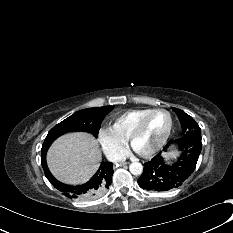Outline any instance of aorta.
Listing matches in <instances>:
<instances>
[{"instance_id": "aorta-1", "label": "aorta", "mask_w": 233, "mask_h": 233, "mask_svg": "<svg viewBox=\"0 0 233 233\" xmlns=\"http://www.w3.org/2000/svg\"><path fill=\"white\" fill-rule=\"evenodd\" d=\"M129 171L133 175H140L142 173V171H143V166L139 162H133L129 166Z\"/></svg>"}]
</instances>
